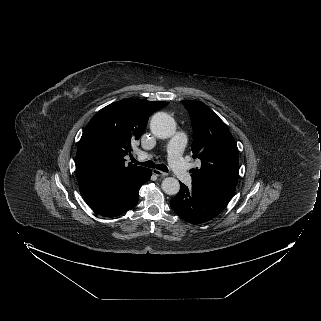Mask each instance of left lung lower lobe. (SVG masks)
<instances>
[{"label": "left lung lower lobe", "mask_w": 321, "mask_h": 321, "mask_svg": "<svg viewBox=\"0 0 321 321\" xmlns=\"http://www.w3.org/2000/svg\"><path fill=\"white\" fill-rule=\"evenodd\" d=\"M180 191L171 199L173 211L183 220L200 224L207 222L227 206L236 185L221 182L192 181V187L180 182Z\"/></svg>", "instance_id": "0a47b994"}]
</instances>
